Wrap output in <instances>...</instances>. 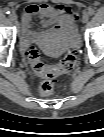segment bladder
<instances>
[{"label": "bladder", "instance_id": "31cf9c89", "mask_svg": "<svg viewBox=\"0 0 104 137\" xmlns=\"http://www.w3.org/2000/svg\"><path fill=\"white\" fill-rule=\"evenodd\" d=\"M76 43L71 34L60 36L58 34L47 35L39 41L42 52L50 57H59L67 52Z\"/></svg>", "mask_w": 104, "mask_h": 137}]
</instances>
